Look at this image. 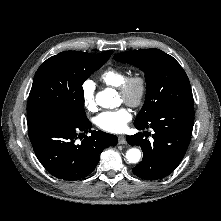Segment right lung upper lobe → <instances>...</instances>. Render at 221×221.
I'll return each mask as SVG.
<instances>
[{"label":"right lung upper lobe","mask_w":221,"mask_h":221,"mask_svg":"<svg viewBox=\"0 0 221 221\" xmlns=\"http://www.w3.org/2000/svg\"><path fill=\"white\" fill-rule=\"evenodd\" d=\"M107 52H110L112 54L113 51L110 50V51H107Z\"/></svg>","instance_id":"cb5924a9"}]
</instances>
